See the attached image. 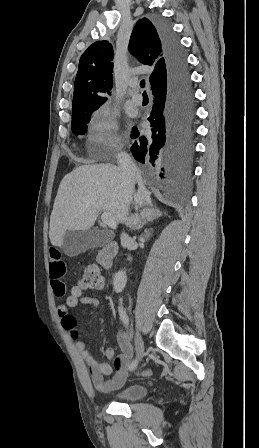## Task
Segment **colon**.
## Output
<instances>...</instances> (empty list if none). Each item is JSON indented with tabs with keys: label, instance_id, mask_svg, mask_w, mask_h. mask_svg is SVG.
Here are the masks:
<instances>
[{
	"label": "colon",
	"instance_id": "obj_1",
	"mask_svg": "<svg viewBox=\"0 0 259 448\" xmlns=\"http://www.w3.org/2000/svg\"><path fill=\"white\" fill-rule=\"evenodd\" d=\"M78 287L84 291H102L106 288V279L97 268L88 267L80 277Z\"/></svg>",
	"mask_w": 259,
	"mask_h": 448
}]
</instances>
